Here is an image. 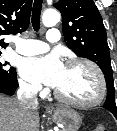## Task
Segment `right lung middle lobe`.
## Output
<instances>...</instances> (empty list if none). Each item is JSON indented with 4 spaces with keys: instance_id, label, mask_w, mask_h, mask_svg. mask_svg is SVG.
<instances>
[{
    "instance_id": "obj_1",
    "label": "right lung middle lobe",
    "mask_w": 117,
    "mask_h": 131,
    "mask_svg": "<svg viewBox=\"0 0 117 131\" xmlns=\"http://www.w3.org/2000/svg\"><path fill=\"white\" fill-rule=\"evenodd\" d=\"M1 55V52H0ZM8 62H0V84H5L10 87H15L17 85L16 70L13 67H5Z\"/></svg>"
}]
</instances>
